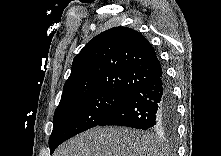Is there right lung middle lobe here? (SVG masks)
I'll return each instance as SVG.
<instances>
[{
  "label": "right lung middle lobe",
  "mask_w": 221,
  "mask_h": 156,
  "mask_svg": "<svg viewBox=\"0 0 221 156\" xmlns=\"http://www.w3.org/2000/svg\"><path fill=\"white\" fill-rule=\"evenodd\" d=\"M129 97L102 92L59 103L54 113V126L49 138L50 153L65 140L99 125Z\"/></svg>",
  "instance_id": "dd1d6c3e"
}]
</instances>
